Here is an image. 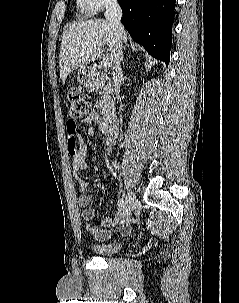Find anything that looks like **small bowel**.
Segmentation results:
<instances>
[{"label": "small bowel", "instance_id": "c3829d8e", "mask_svg": "<svg viewBox=\"0 0 239 303\" xmlns=\"http://www.w3.org/2000/svg\"><path fill=\"white\" fill-rule=\"evenodd\" d=\"M84 122H88L93 124L88 129V135L90 137H97L99 134L104 136L105 139V152H108L110 148L114 144V139L111 138L101 127V122L98 114L92 110L89 115H87L84 119ZM68 131V137H67V146H68V152L71 157V164H72V171L73 176L78 184L79 190H80V196L78 198V205L83 208L82 211V218L85 221H88L86 224V231L93 235L94 237L98 239H106L111 235L110 226L113 222L112 217H106L102 223L101 227H99L97 224L89 222L96 214V210L94 208H89L88 205L94 198V193L91 189V184L87 182L86 180L82 179L79 176V173L81 171H84L87 169L86 164V144L83 139V137L77 132V124L75 123V129L74 131H70L67 127ZM123 219V218H122ZM121 220V219H120ZM132 219H125L122 221V224L120 227L117 228L116 233L119 235H126L130 231V223H132ZM126 223V224H124Z\"/></svg>", "mask_w": 239, "mask_h": 303}]
</instances>
